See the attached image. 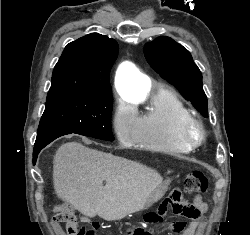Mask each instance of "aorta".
<instances>
[{
    "label": "aorta",
    "mask_w": 250,
    "mask_h": 235,
    "mask_svg": "<svg viewBox=\"0 0 250 235\" xmlns=\"http://www.w3.org/2000/svg\"><path fill=\"white\" fill-rule=\"evenodd\" d=\"M149 88V80L132 64L123 65L117 77V89L124 99L135 103L143 101Z\"/></svg>",
    "instance_id": "762f6f07"
}]
</instances>
